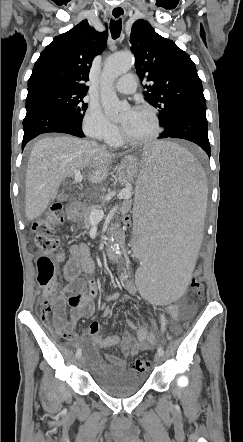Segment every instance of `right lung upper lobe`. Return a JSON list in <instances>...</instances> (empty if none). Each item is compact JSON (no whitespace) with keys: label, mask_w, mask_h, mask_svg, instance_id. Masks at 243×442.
Here are the masks:
<instances>
[{"label":"right lung upper lobe","mask_w":243,"mask_h":442,"mask_svg":"<svg viewBox=\"0 0 243 442\" xmlns=\"http://www.w3.org/2000/svg\"><path fill=\"white\" fill-rule=\"evenodd\" d=\"M107 38V32L96 31L87 20L56 36L35 63L27 98L50 90L86 95L92 60L106 48Z\"/></svg>","instance_id":"obj_1"}]
</instances>
